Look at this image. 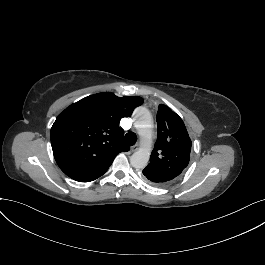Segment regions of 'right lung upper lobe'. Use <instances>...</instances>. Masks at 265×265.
Masks as SVG:
<instances>
[{
	"mask_svg": "<svg viewBox=\"0 0 265 265\" xmlns=\"http://www.w3.org/2000/svg\"><path fill=\"white\" fill-rule=\"evenodd\" d=\"M142 104L138 96L98 93L66 108L51 128L52 150L61 170L79 182L102 176L118 153L129 150L122 143L121 118Z\"/></svg>",
	"mask_w": 265,
	"mask_h": 265,
	"instance_id": "cb5924a9",
	"label": "right lung upper lobe"
}]
</instances>
